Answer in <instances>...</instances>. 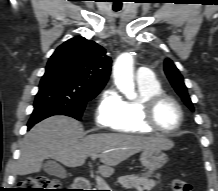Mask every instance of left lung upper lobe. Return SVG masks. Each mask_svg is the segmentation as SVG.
<instances>
[{"mask_svg": "<svg viewBox=\"0 0 218 191\" xmlns=\"http://www.w3.org/2000/svg\"><path fill=\"white\" fill-rule=\"evenodd\" d=\"M164 70L165 73L172 84L175 91L179 94V96L182 98L184 103L193 110V104L191 102V99L187 93V88L184 84V80L182 75L179 73V70L174 65V63L170 59H166L164 63Z\"/></svg>", "mask_w": 218, "mask_h": 191, "instance_id": "obj_1", "label": "left lung upper lobe"}]
</instances>
